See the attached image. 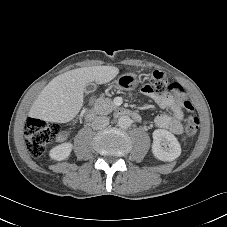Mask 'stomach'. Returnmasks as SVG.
<instances>
[{
  "label": "stomach",
  "instance_id": "0dacf381",
  "mask_svg": "<svg viewBox=\"0 0 227 227\" xmlns=\"http://www.w3.org/2000/svg\"><path fill=\"white\" fill-rule=\"evenodd\" d=\"M139 80L134 73L120 75L113 83V87L118 90L132 91L137 88Z\"/></svg>",
  "mask_w": 227,
  "mask_h": 227
}]
</instances>
